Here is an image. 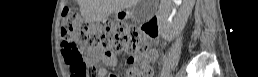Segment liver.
I'll return each mask as SVG.
<instances>
[{
	"mask_svg": "<svg viewBox=\"0 0 258 77\" xmlns=\"http://www.w3.org/2000/svg\"><path fill=\"white\" fill-rule=\"evenodd\" d=\"M139 0H78L80 12L87 22L101 21L111 14L134 7ZM174 0H161L171 4Z\"/></svg>",
	"mask_w": 258,
	"mask_h": 77,
	"instance_id": "obj_1",
	"label": "liver"
}]
</instances>
